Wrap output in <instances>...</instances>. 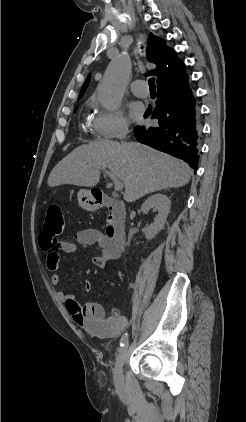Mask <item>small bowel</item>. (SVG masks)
<instances>
[{
	"instance_id": "obj_1",
	"label": "small bowel",
	"mask_w": 246,
	"mask_h": 422,
	"mask_svg": "<svg viewBox=\"0 0 246 422\" xmlns=\"http://www.w3.org/2000/svg\"><path fill=\"white\" fill-rule=\"evenodd\" d=\"M41 248L46 252V263L49 270L53 272L51 282L54 286L60 284L61 277L60 253H75L78 245L90 247L96 245L100 251L99 256H94L91 262L97 268H105L109 261L115 260L120 255V250L113 244L107 234L97 229H83L75 234V242L59 241L55 235L49 234L44 230L39 235ZM86 291L92 289L90 281L85 283ZM58 298L62 301L67 311L72 316L74 322L84 328L89 333L104 338L117 337L128 325L127 318L118 310H113L110 315L105 308L97 303H87L79 305L73 295L58 292Z\"/></svg>"
}]
</instances>
